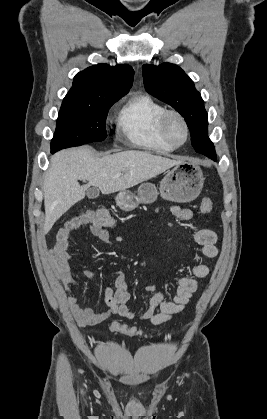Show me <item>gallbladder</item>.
<instances>
[{
    "mask_svg": "<svg viewBox=\"0 0 267 419\" xmlns=\"http://www.w3.org/2000/svg\"><path fill=\"white\" fill-rule=\"evenodd\" d=\"M87 196L90 199L97 198L99 196V189L97 187H91L87 189Z\"/></svg>",
    "mask_w": 267,
    "mask_h": 419,
    "instance_id": "gallbladder-1",
    "label": "gallbladder"
}]
</instances>
